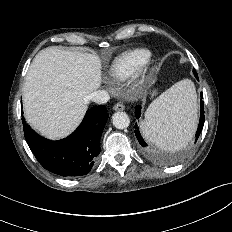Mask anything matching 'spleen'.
Here are the masks:
<instances>
[{"mask_svg": "<svg viewBox=\"0 0 232 232\" xmlns=\"http://www.w3.org/2000/svg\"><path fill=\"white\" fill-rule=\"evenodd\" d=\"M197 123V95L189 79L175 83L148 107L141 122L144 137L158 147L178 151L191 140Z\"/></svg>", "mask_w": 232, "mask_h": 232, "instance_id": "3e777b00", "label": "spleen"}]
</instances>
